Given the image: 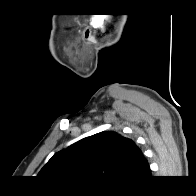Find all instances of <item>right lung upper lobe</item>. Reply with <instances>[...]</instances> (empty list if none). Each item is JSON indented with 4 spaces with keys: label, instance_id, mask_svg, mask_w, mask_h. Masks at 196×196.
<instances>
[{
    "label": "right lung upper lobe",
    "instance_id": "right-lung-upper-lobe-1",
    "mask_svg": "<svg viewBox=\"0 0 196 196\" xmlns=\"http://www.w3.org/2000/svg\"><path fill=\"white\" fill-rule=\"evenodd\" d=\"M150 173L148 161L131 139L103 131L55 153L38 176L54 184L107 188L140 183Z\"/></svg>",
    "mask_w": 196,
    "mask_h": 196
}]
</instances>
